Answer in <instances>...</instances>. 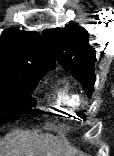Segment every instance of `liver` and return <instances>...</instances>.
I'll return each mask as SVG.
<instances>
[{
  "mask_svg": "<svg viewBox=\"0 0 114 156\" xmlns=\"http://www.w3.org/2000/svg\"><path fill=\"white\" fill-rule=\"evenodd\" d=\"M0 156H78V151L50 134L15 131L6 136Z\"/></svg>",
  "mask_w": 114,
  "mask_h": 156,
  "instance_id": "liver-1",
  "label": "liver"
}]
</instances>
